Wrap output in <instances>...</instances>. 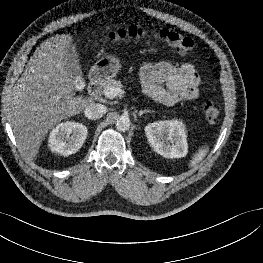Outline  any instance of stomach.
I'll return each mask as SVG.
<instances>
[{
    "label": "stomach",
    "instance_id": "obj_1",
    "mask_svg": "<svg viewBox=\"0 0 263 263\" xmlns=\"http://www.w3.org/2000/svg\"><path fill=\"white\" fill-rule=\"evenodd\" d=\"M120 68V61L116 57H102L92 66L89 78L95 83L105 82L108 79L116 77Z\"/></svg>",
    "mask_w": 263,
    "mask_h": 263
}]
</instances>
